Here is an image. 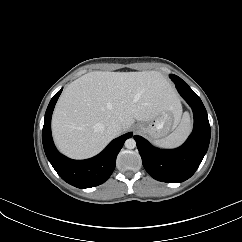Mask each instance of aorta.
Here are the masks:
<instances>
[{
  "instance_id": "aorta-1",
  "label": "aorta",
  "mask_w": 242,
  "mask_h": 242,
  "mask_svg": "<svg viewBox=\"0 0 242 242\" xmlns=\"http://www.w3.org/2000/svg\"><path fill=\"white\" fill-rule=\"evenodd\" d=\"M125 147L127 149H134L136 147V141L133 138H129L125 141Z\"/></svg>"
}]
</instances>
